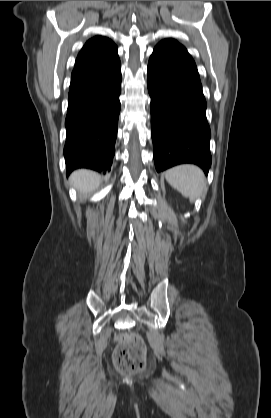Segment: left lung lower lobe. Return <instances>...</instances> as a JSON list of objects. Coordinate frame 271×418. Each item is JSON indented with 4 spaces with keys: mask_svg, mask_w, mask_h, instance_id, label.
<instances>
[{
    "mask_svg": "<svg viewBox=\"0 0 271 418\" xmlns=\"http://www.w3.org/2000/svg\"><path fill=\"white\" fill-rule=\"evenodd\" d=\"M147 83L156 170L194 163L207 173V104L196 64L185 47L173 39L158 43L149 59Z\"/></svg>",
    "mask_w": 271,
    "mask_h": 418,
    "instance_id": "0a47b994",
    "label": "left lung lower lobe"
}]
</instances>
